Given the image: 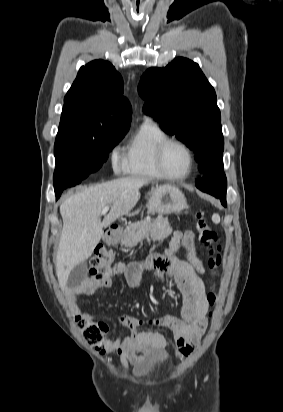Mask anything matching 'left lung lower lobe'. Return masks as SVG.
<instances>
[{"instance_id":"0a47b994","label":"left lung lower lobe","mask_w":283,"mask_h":412,"mask_svg":"<svg viewBox=\"0 0 283 412\" xmlns=\"http://www.w3.org/2000/svg\"><path fill=\"white\" fill-rule=\"evenodd\" d=\"M213 169H210V171H207L206 173H203V177L201 180H199L196 184L197 188H199L201 191L206 192L208 194H211L215 196L216 198H219L221 200V203L223 206H226V194L224 195H218L216 193L211 192V187L212 183H222L226 181V176L224 174V169H223V159L222 156H215L214 158V164H213Z\"/></svg>"}]
</instances>
